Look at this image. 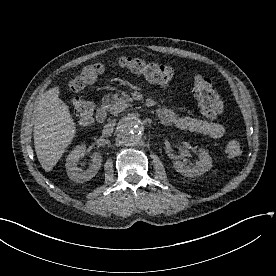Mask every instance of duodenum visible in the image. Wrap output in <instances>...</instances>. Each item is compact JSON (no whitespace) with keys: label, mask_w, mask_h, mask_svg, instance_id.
I'll use <instances>...</instances> for the list:
<instances>
[{"label":"duodenum","mask_w":276,"mask_h":276,"mask_svg":"<svg viewBox=\"0 0 276 276\" xmlns=\"http://www.w3.org/2000/svg\"><path fill=\"white\" fill-rule=\"evenodd\" d=\"M159 117H162V111H158ZM108 117V112L105 106H100L96 111V121L98 123H105Z\"/></svg>","instance_id":"1"}]
</instances>
